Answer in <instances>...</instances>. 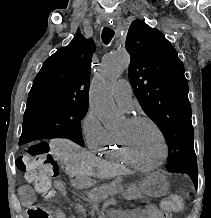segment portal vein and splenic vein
<instances>
[{"label": "portal vein and splenic vein", "instance_id": "18ae733b", "mask_svg": "<svg viewBox=\"0 0 211 218\" xmlns=\"http://www.w3.org/2000/svg\"><path fill=\"white\" fill-rule=\"evenodd\" d=\"M126 190V189H125ZM119 191H123V188H119Z\"/></svg>", "mask_w": 211, "mask_h": 218}]
</instances>
